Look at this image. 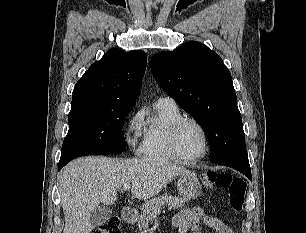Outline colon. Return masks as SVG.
I'll use <instances>...</instances> for the list:
<instances>
[{
  "instance_id": "obj_1",
  "label": "colon",
  "mask_w": 306,
  "mask_h": 233,
  "mask_svg": "<svg viewBox=\"0 0 306 233\" xmlns=\"http://www.w3.org/2000/svg\"><path fill=\"white\" fill-rule=\"evenodd\" d=\"M202 180L204 186L208 188H228L230 207L236 212L243 210L247 189V182L243 178L232 176L230 173L206 171ZM96 233H120L118 217L111 216L102 224Z\"/></svg>"
}]
</instances>
